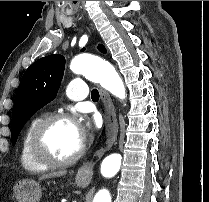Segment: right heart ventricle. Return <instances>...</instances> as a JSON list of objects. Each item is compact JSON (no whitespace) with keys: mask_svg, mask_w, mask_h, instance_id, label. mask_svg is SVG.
<instances>
[{"mask_svg":"<svg viewBox=\"0 0 209 202\" xmlns=\"http://www.w3.org/2000/svg\"><path fill=\"white\" fill-rule=\"evenodd\" d=\"M41 120L40 117L32 119L25 127L20 143V163L24 169L30 172H41L46 168L39 165L31 156L29 152V141L34 127Z\"/></svg>","mask_w":209,"mask_h":202,"instance_id":"e07e8e85","label":"right heart ventricle"}]
</instances>
